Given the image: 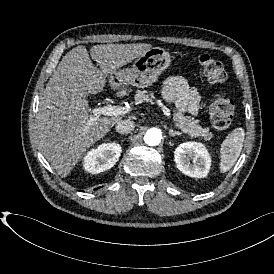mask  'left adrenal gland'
<instances>
[{
	"instance_id": "1",
	"label": "left adrenal gland",
	"mask_w": 274,
	"mask_h": 274,
	"mask_svg": "<svg viewBox=\"0 0 274 274\" xmlns=\"http://www.w3.org/2000/svg\"><path fill=\"white\" fill-rule=\"evenodd\" d=\"M176 135H181V132L169 129V136L174 137Z\"/></svg>"
}]
</instances>
